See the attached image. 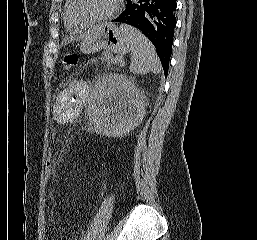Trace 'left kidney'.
I'll return each mask as SVG.
<instances>
[{"label": "left kidney", "instance_id": "left-kidney-1", "mask_svg": "<svg viewBox=\"0 0 257 240\" xmlns=\"http://www.w3.org/2000/svg\"><path fill=\"white\" fill-rule=\"evenodd\" d=\"M144 115V96L126 76L107 74L94 85L89 116L98 133L122 136L138 126Z\"/></svg>", "mask_w": 257, "mask_h": 240}]
</instances>
